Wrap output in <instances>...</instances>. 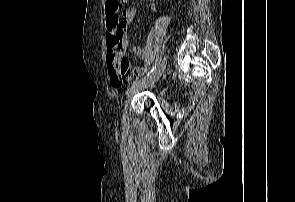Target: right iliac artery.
Here are the masks:
<instances>
[{
	"mask_svg": "<svg viewBox=\"0 0 295 202\" xmlns=\"http://www.w3.org/2000/svg\"><path fill=\"white\" fill-rule=\"evenodd\" d=\"M161 64V56L157 59V61H156V63H155V66H153L152 68H151V70H150V72H148L147 73V75L144 77V78H142V80H135L134 82H133V84H132V86H135V85H137V84H139L140 82H144L147 78H149L155 71H156V69H157V67L159 66Z\"/></svg>",
	"mask_w": 295,
	"mask_h": 202,
	"instance_id": "obj_1",
	"label": "right iliac artery"
}]
</instances>
